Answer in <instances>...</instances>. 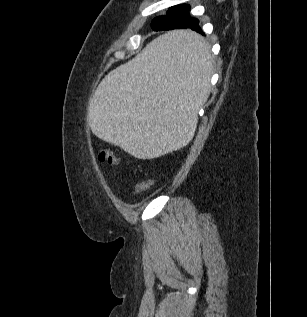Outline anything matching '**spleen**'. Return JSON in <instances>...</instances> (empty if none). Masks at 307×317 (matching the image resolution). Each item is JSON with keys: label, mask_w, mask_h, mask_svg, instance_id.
Returning a JSON list of instances; mask_svg holds the SVG:
<instances>
[{"label": "spleen", "mask_w": 307, "mask_h": 317, "mask_svg": "<svg viewBox=\"0 0 307 317\" xmlns=\"http://www.w3.org/2000/svg\"><path fill=\"white\" fill-rule=\"evenodd\" d=\"M209 48L196 29H167L98 87L92 132L137 160L175 155L192 138L209 95Z\"/></svg>", "instance_id": "3e777b00"}]
</instances>
